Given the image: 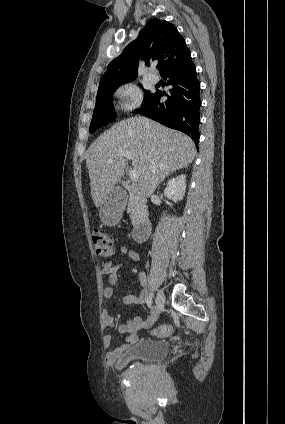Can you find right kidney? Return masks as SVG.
I'll return each instance as SVG.
<instances>
[{"label": "right kidney", "instance_id": "1", "mask_svg": "<svg viewBox=\"0 0 285 424\" xmlns=\"http://www.w3.org/2000/svg\"><path fill=\"white\" fill-rule=\"evenodd\" d=\"M186 190V175H180L168 181L164 190V195L168 199L177 203L183 199Z\"/></svg>", "mask_w": 285, "mask_h": 424}]
</instances>
